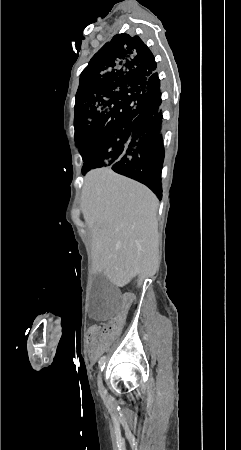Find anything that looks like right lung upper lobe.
<instances>
[{"label":"right lung upper lobe","mask_w":241,"mask_h":450,"mask_svg":"<svg viewBox=\"0 0 241 450\" xmlns=\"http://www.w3.org/2000/svg\"><path fill=\"white\" fill-rule=\"evenodd\" d=\"M156 67L153 54L138 36L118 34L93 56L80 81L114 85L124 96L145 99V81Z\"/></svg>","instance_id":"obj_1"}]
</instances>
